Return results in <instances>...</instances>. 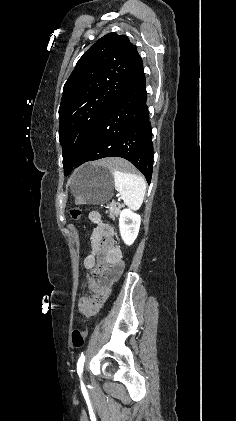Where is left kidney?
Here are the masks:
<instances>
[{
	"mask_svg": "<svg viewBox=\"0 0 236 421\" xmlns=\"http://www.w3.org/2000/svg\"><path fill=\"white\" fill-rule=\"evenodd\" d=\"M140 225V215L132 213L130 208H124V211H121L119 219V231L126 245H132L135 239H137Z\"/></svg>",
	"mask_w": 236,
	"mask_h": 421,
	"instance_id": "obj_1",
	"label": "left kidney"
}]
</instances>
